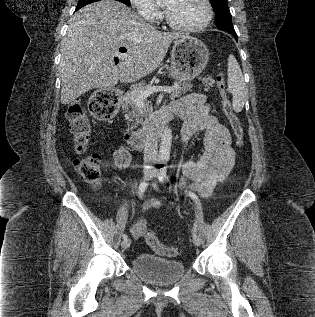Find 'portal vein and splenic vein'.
Returning <instances> with one entry per match:
<instances>
[{"label":"portal vein and splenic vein","mask_w":315,"mask_h":317,"mask_svg":"<svg viewBox=\"0 0 315 317\" xmlns=\"http://www.w3.org/2000/svg\"><path fill=\"white\" fill-rule=\"evenodd\" d=\"M161 91H164L166 93H171L173 91V87H150L145 91H138L137 92V100H138V102H142L149 95H151L155 92H161Z\"/></svg>","instance_id":"1"}]
</instances>
